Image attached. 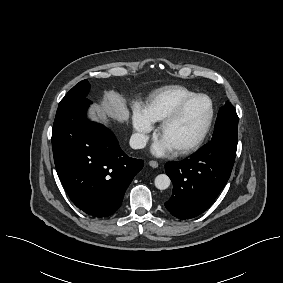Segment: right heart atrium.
<instances>
[{"mask_svg": "<svg viewBox=\"0 0 283 283\" xmlns=\"http://www.w3.org/2000/svg\"><path fill=\"white\" fill-rule=\"evenodd\" d=\"M132 124L135 130V142L139 147L146 144L148 135L153 129L152 122L144 115L143 110L139 107H135Z\"/></svg>", "mask_w": 283, "mask_h": 283, "instance_id": "d8ad5b80", "label": "right heart atrium"}]
</instances>
